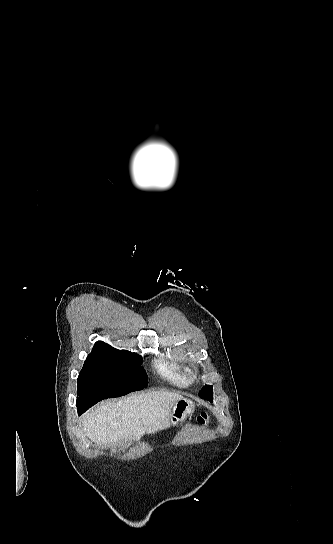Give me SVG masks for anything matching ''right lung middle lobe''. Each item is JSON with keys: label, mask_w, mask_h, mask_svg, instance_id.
Instances as JSON below:
<instances>
[{"label": "right lung middle lobe", "mask_w": 333, "mask_h": 544, "mask_svg": "<svg viewBox=\"0 0 333 544\" xmlns=\"http://www.w3.org/2000/svg\"><path fill=\"white\" fill-rule=\"evenodd\" d=\"M142 357L127 350L89 354L77 379V406L86 411L97 402L120 397L147 386Z\"/></svg>", "instance_id": "right-lung-middle-lobe-1"}]
</instances>
